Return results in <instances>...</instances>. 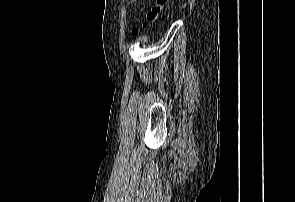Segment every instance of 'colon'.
I'll return each instance as SVG.
<instances>
[{
  "mask_svg": "<svg viewBox=\"0 0 295 202\" xmlns=\"http://www.w3.org/2000/svg\"><path fill=\"white\" fill-rule=\"evenodd\" d=\"M168 0H154V3L147 13V21L146 25H150L151 23L155 22L160 14L163 12ZM136 32V31H134Z\"/></svg>",
  "mask_w": 295,
  "mask_h": 202,
  "instance_id": "obj_1",
  "label": "colon"
}]
</instances>
